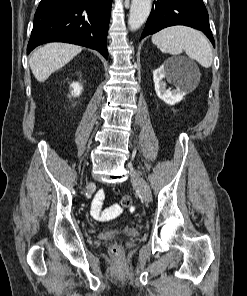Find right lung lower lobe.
<instances>
[{"label": "right lung lower lobe", "mask_w": 247, "mask_h": 296, "mask_svg": "<svg viewBox=\"0 0 247 296\" xmlns=\"http://www.w3.org/2000/svg\"><path fill=\"white\" fill-rule=\"evenodd\" d=\"M112 0H41L27 46L66 42L99 51L108 57L107 33Z\"/></svg>", "instance_id": "right-lung-lower-lobe-1"}]
</instances>
